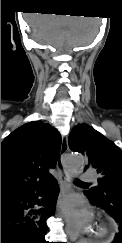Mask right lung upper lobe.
<instances>
[{"label": "right lung upper lobe", "instance_id": "cb5924a9", "mask_svg": "<svg viewBox=\"0 0 122 243\" xmlns=\"http://www.w3.org/2000/svg\"><path fill=\"white\" fill-rule=\"evenodd\" d=\"M61 136L49 124L27 123L1 143V197L52 177L60 153Z\"/></svg>", "mask_w": 122, "mask_h": 243}]
</instances>
